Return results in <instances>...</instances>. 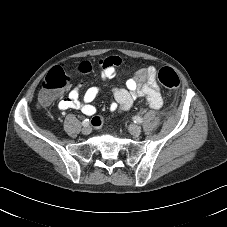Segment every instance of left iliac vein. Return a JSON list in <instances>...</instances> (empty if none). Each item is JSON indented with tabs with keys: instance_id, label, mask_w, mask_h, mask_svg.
Here are the masks:
<instances>
[{
	"instance_id": "4c4485c4",
	"label": "left iliac vein",
	"mask_w": 227,
	"mask_h": 227,
	"mask_svg": "<svg viewBox=\"0 0 227 227\" xmlns=\"http://www.w3.org/2000/svg\"><path fill=\"white\" fill-rule=\"evenodd\" d=\"M128 130L132 135L135 136L140 135L142 132L141 127L135 124H130Z\"/></svg>"
}]
</instances>
